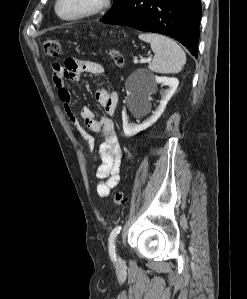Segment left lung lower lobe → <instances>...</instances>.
I'll use <instances>...</instances> for the list:
<instances>
[{"label":"left lung lower lobe","mask_w":247,"mask_h":299,"mask_svg":"<svg viewBox=\"0 0 247 299\" xmlns=\"http://www.w3.org/2000/svg\"><path fill=\"white\" fill-rule=\"evenodd\" d=\"M200 18L201 0H128L101 21L168 35L197 56Z\"/></svg>","instance_id":"obj_1"}]
</instances>
